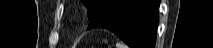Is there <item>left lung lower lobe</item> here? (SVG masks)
<instances>
[{"label":"left lung lower lobe","mask_w":213,"mask_h":48,"mask_svg":"<svg viewBox=\"0 0 213 48\" xmlns=\"http://www.w3.org/2000/svg\"><path fill=\"white\" fill-rule=\"evenodd\" d=\"M159 0H110L90 20L89 28H106L131 48H155Z\"/></svg>","instance_id":"left-lung-lower-lobe-1"}]
</instances>
